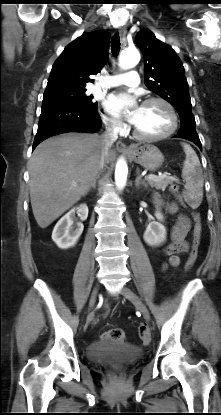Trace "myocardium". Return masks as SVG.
<instances>
[{
  "label": "myocardium",
  "instance_id": "f54148a6",
  "mask_svg": "<svg viewBox=\"0 0 221 415\" xmlns=\"http://www.w3.org/2000/svg\"><path fill=\"white\" fill-rule=\"evenodd\" d=\"M153 102H159V103L163 104L168 109V111L170 113V116H171V126L166 132H164L162 134L146 135V134L141 133L134 125L133 134L138 139L146 140V141L163 140V139H166V138L170 137L171 135H173L176 132L177 128H178L179 118H178V114H177V111H176L175 107L168 100H166L162 97H157V96L149 97V98L145 99L143 101L142 105L153 103Z\"/></svg>",
  "mask_w": 221,
  "mask_h": 415
}]
</instances>
